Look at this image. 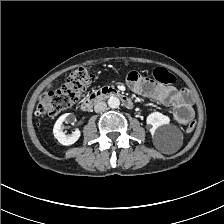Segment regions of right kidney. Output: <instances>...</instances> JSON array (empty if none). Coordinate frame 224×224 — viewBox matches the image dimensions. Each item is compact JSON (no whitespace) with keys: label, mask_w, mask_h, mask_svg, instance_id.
I'll return each mask as SVG.
<instances>
[{"label":"right kidney","mask_w":224,"mask_h":224,"mask_svg":"<svg viewBox=\"0 0 224 224\" xmlns=\"http://www.w3.org/2000/svg\"><path fill=\"white\" fill-rule=\"evenodd\" d=\"M64 121L74 123L76 118L72 113H65L60 116L54 125L53 134L60 144L69 146L74 144L80 138L81 132L76 129L71 135H66L62 130Z\"/></svg>","instance_id":"1"}]
</instances>
